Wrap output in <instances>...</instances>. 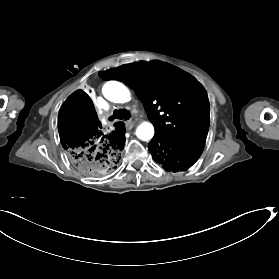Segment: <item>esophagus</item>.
I'll use <instances>...</instances> for the list:
<instances>
[{
    "mask_svg": "<svg viewBox=\"0 0 279 279\" xmlns=\"http://www.w3.org/2000/svg\"><path fill=\"white\" fill-rule=\"evenodd\" d=\"M135 125V122L134 121H126L125 122V128L126 130H131L133 128V126Z\"/></svg>",
    "mask_w": 279,
    "mask_h": 279,
    "instance_id": "obj_1",
    "label": "esophagus"
}]
</instances>
